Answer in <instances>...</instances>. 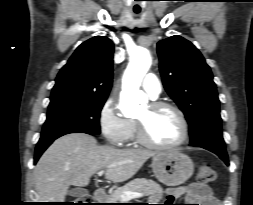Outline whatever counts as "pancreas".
<instances>
[{"label": "pancreas", "instance_id": "obj_1", "mask_svg": "<svg viewBox=\"0 0 253 205\" xmlns=\"http://www.w3.org/2000/svg\"><path fill=\"white\" fill-rule=\"evenodd\" d=\"M125 191L139 192L149 196L150 201H159L163 196V189L155 181L145 178H136L125 186L117 188L109 198V203H125L121 195Z\"/></svg>", "mask_w": 253, "mask_h": 205}]
</instances>
